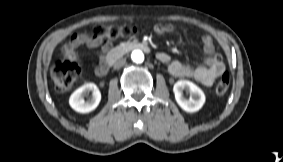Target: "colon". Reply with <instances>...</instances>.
<instances>
[{"instance_id":"colon-1","label":"colon","mask_w":283,"mask_h":162,"mask_svg":"<svg viewBox=\"0 0 283 162\" xmlns=\"http://www.w3.org/2000/svg\"><path fill=\"white\" fill-rule=\"evenodd\" d=\"M141 27L131 26H105L97 25L93 28V36L102 39H117L130 36L131 34L141 31ZM80 74L78 64L67 60L59 61L54 64L51 70V78L58 89L67 90L76 82ZM230 85V77L227 73L220 76L215 85V92L219 96L227 93Z\"/></svg>"}]
</instances>
